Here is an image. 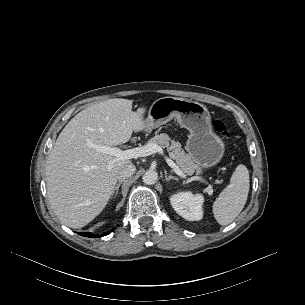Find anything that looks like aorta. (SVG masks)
I'll return each instance as SVG.
<instances>
[{"label": "aorta", "mask_w": 305, "mask_h": 305, "mask_svg": "<svg viewBox=\"0 0 305 305\" xmlns=\"http://www.w3.org/2000/svg\"><path fill=\"white\" fill-rule=\"evenodd\" d=\"M142 179L145 184L152 185L157 182L158 174L155 170L149 169L144 173Z\"/></svg>", "instance_id": "1"}]
</instances>
